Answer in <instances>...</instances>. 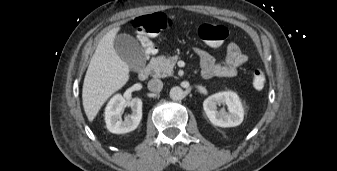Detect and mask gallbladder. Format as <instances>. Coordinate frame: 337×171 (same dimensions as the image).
<instances>
[{
  "mask_svg": "<svg viewBox=\"0 0 337 171\" xmlns=\"http://www.w3.org/2000/svg\"><path fill=\"white\" fill-rule=\"evenodd\" d=\"M114 46L119 57L128 64L131 70L138 72L144 67V52L132 36L127 34L116 36Z\"/></svg>",
  "mask_w": 337,
  "mask_h": 171,
  "instance_id": "bac80fb5",
  "label": "gallbladder"
}]
</instances>
